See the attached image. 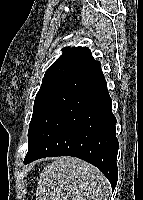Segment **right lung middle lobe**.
<instances>
[{
  "label": "right lung middle lobe",
  "instance_id": "obj_1",
  "mask_svg": "<svg viewBox=\"0 0 143 200\" xmlns=\"http://www.w3.org/2000/svg\"><path fill=\"white\" fill-rule=\"evenodd\" d=\"M63 81V78H48L42 80V85L36 95L35 101H34V108H33V115H35L36 111L42 104V102L47 98V96L51 93V91L57 87L61 82Z\"/></svg>",
  "mask_w": 143,
  "mask_h": 200
}]
</instances>
